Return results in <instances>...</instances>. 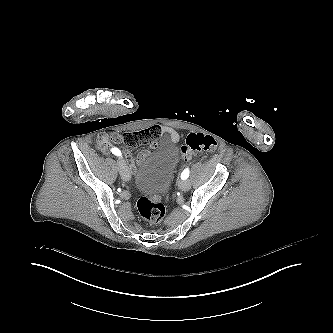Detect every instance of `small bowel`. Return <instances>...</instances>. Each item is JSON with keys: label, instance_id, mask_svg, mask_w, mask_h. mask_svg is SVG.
I'll return each mask as SVG.
<instances>
[{"label": "small bowel", "instance_id": "1", "mask_svg": "<svg viewBox=\"0 0 333 333\" xmlns=\"http://www.w3.org/2000/svg\"><path fill=\"white\" fill-rule=\"evenodd\" d=\"M155 127H158L161 130L162 135L166 136L171 143H178L180 141V139H181L180 134L176 130H174L173 128L168 127V126H155ZM180 155H181V152H180ZM144 157H145V153L142 152L139 155L138 160H142ZM181 158L184 161L182 155H181ZM136 172H137V167H136L135 161L130 160L128 165H127V177H128V179L132 178L136 174Z\"/></svg>", "mask_w": 333, "mask_h": 333}]
</instances>
